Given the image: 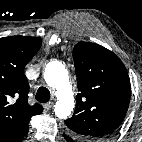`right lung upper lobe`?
<instances>
[{"label": "right lung upper lobe", "mask_w": 142, "mask_h": 142, "mask_svg": "<svg viewBox=\"0 0 142 142\" xmlns=\"http://www.w3.org/2000/svg\"><path fill=\"white\" fill-rule=\"evenodd\" d=\"M41 43L38 37L0 38V142H21L31 117L43 111L39 104H28L29 85L24 75Z\"/></svg>", "instance_id": "cb5924a9"}]
</instances>
